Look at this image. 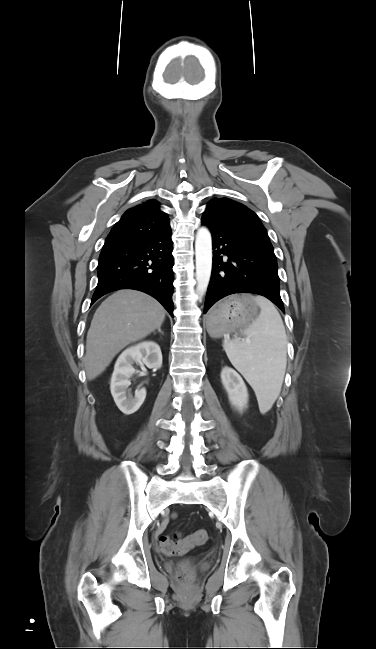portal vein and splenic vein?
<instances>
[{
  "label": "portal vein and splenic vein",
  "instance_id": "obj_1",
  "mask_svg": "<svg viewBox=\"0 0 376 649\" xmlns=\"http://www.w3.org/2000/svg\"><path fill=\"white\" fill-rule=\"evenodd\" d=\"M246 341L249 342L250 340H249V339H246Z\"/></svg>",
  "mask_w": 376,
  "mask_h": 649
}]
</instances>
